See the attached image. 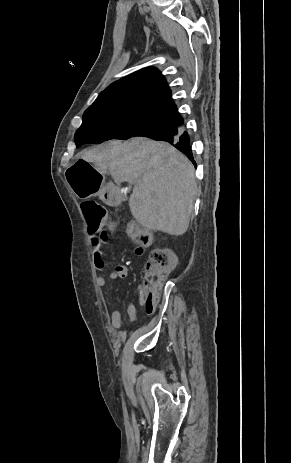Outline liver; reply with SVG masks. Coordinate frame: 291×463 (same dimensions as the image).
<instances>
[{"mask_svg": "<svg viewBox=\"0 0 291 463\" xmlns=\"http://www.w3.org/2000/svg\"><path fill=\"white\" fill-rule=\"evenodd\" d=\"M79 157L102 175L108 170L117 185H134L129 207L143 227L175 236L187 231L197 184L193 165L173 146L135 137L110 141Z\"/></svg>", "mask_w": 291, "mask_h": 463, "instance_id": "obj_1", "label": "liver"}]
</instances>
